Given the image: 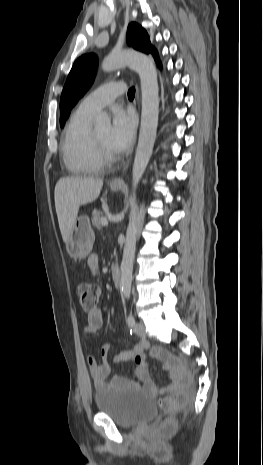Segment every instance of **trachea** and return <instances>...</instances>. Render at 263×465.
Listing matches in <instances>:
<instances>
[{"label":"trachea","mask_w":263,"mask_h":465,"mask_svg":"<svg viewBox=\"0 0 263 465\" xmlns=\"http://www.w3.org/2000/svg\"><path fill=\"white\" fill-rule=\"evenodd\" d=\"M134 96H135V88L132 87V88H130L129 91H128V97H129V98H134Z\"/></svg>","instance_id":"trachea-1"}]
</instances>
